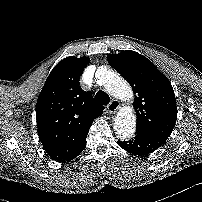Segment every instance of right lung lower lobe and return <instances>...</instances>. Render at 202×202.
Segmentation results:
<instances>
[{
    "label": "right lung lower lobe",
    "mask_w": 202,
    "mask_h": 202,
    "mask_svg": "<svg viewBox=\"0 0 202 202\" xmlns=\"http://www.w3.org/2000/svg\"><path fill=\"white\" fill-rule=\"evenodd\" d=\"M87 135H88V133H87ZM87 135H86V137H87ZM86 137H85V141H84L82 147L71 157V159H69V160H67V161H70V160L76 158V157L83 151V149H84L85 146H86Z\"/></svg>",
    "instance_id": "1"
}]
</instances>
